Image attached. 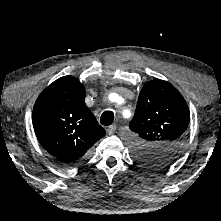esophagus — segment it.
I'll return each mask as SVG.
<instances>
[{"label": "esophagus", "instance_id": "obj_1", "mask_svg": "<svg viewBox=\"0 0 221 221\" xmlns=\"http://www.w3.org/2000/svg\"><path fill=\"white\" fill-rule=\"evenodd\" d=\"M116 129H117V126H116V125H111V126H109V127L107 128V133H108L109 135H112V134L115 133Z\"/></svg>", "mask_w": 221, "mask_h": 221}]
</instances>
